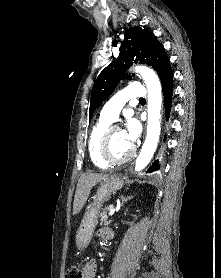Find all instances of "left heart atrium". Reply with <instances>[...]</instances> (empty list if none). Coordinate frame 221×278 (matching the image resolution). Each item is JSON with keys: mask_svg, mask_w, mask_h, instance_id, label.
Wrapping results in <instances>:
<instances>
[{"mask_svg": "<svg viewBox=\"0 0 221 278\" xmlns=\"http://www.w3.org/2000/svg\"><path fill=\"white\" fill-rule=\"evenodd\" d=\"M123 134L126 142L132 146L139 134V126L136 121H129Z\"/></svg>", "mask_w": 221, "mask_h": 278, "instance_id": "39dd6f15", "label": "left heart atrium"}]
</instances>
